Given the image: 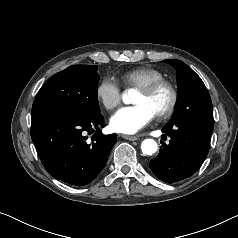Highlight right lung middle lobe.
I'll list each match as a JSON object with an SVG mask.
<instances>
[{"mask_svg": "<svg viewBox=\"0 0 238 238\" xmlns=\"http://www.w3.org/2000/svg\"><path fill=\"white\" fill-rule=\"evenodd\" d=\"M96 65H74L55 74L39 90L32 112H64L92 118L101 115Z\"/></svg>", "mask_w": 238, "mask_h": 238, "instance_id": "obj_1", "label": "right lung middle lobe"}]
</instances>
